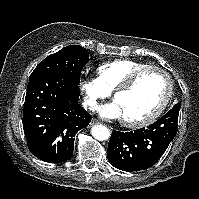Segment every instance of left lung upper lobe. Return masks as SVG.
<instances>
[{
    "instance_id": "1",
    "label": "left lung upper lobe",
    "mask_w": 199,
    "mask_h": 199,
    "mask_svg": "<svg viewBox=\"0 0 199 199\" xmlns=\"http://www.w3.org/2000/svg\"><path fill=\"white\" fill-rule=\"evenodd\" d=\"M174 107H176V108H181V103L179 102L178 104H176Z\"/></svg>"
}]
</instances>
